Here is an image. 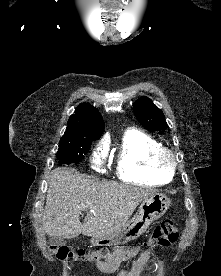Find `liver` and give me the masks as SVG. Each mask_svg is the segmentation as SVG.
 <instances>
[{
  "label": "liver",
  "mask_w": 221,
  "mask_h": 276,
  "mask_svg": "<svg viewBox=\"0 0 221 276\" xmlns=\"http://www.w3.org/2000/svg\"><path fill=\"white\" fill-rule=\"evenodd\" d=\"M155 191L129 184L86 179L73 170L58 168L51 173L43 213L48 236L102 238L121 229L136 207ZM86 211L84 223L80 215Z\"/></svg>",
  "instance_id": "obj_1"
}]
</instances>
